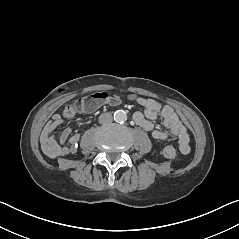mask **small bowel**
<instances>
[{
  "mask_svg": "<svg viewBox=\"0 0 239 239\" xmlns=\"http://www.w3.org/2000/svg\"><path fill=\"white\" fill-rule=\"evenodd\" d=\"M136 101L144 108V111L136 112L133 115L134 122L146 132L151 133L152 137L156 140L175 138L179 151L182 154H188L190 151V137L186 126L174 109L169 105L162 104L154 98L138 97ZM94 109L96 108L82 109V111L90 112ZM71 117L73 116L68 114L65 109L63 116L55 114L44 126L40 141L41 147L48 157L57 158L76 151L80 136L79 134H73L71 127H67L62 132L59 141H56L54 137L55 129L63 123L64 118ZM158 120L162 122L166 131L155 127L153 122Z\"/></svg>",
  "mask_w": 239,
  "mask_h": 239,
  "instance_id": "obj_1",
  "label": "small bowel"
}]
</instances>
